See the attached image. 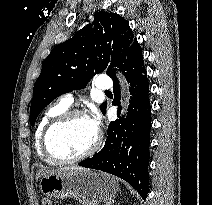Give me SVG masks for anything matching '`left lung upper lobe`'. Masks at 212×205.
Instances as JSON below:
<instances>
[{
    "label": "left lung upper lobe",
    "instance_id": "left-lung-upper-lobe-1",
    "mask_svg": "<svg viewBox=\"0 0 212 205\" xmlns=\"http://www.w3.org/2000/svg\"><path fill=\"white\" fill-rule=\"evenodd\" d=\"M135 40L128 22L112 12H98L92 23L52 49L44 60L37 78L30 107V123L34 126L40 112L58 96L85 88L87 82L111 67H120ZM106 102L100 106L104 113Z\"/></svg>",
    "mask_w": 212,
    "mask_h": 205
}]
</instances>
